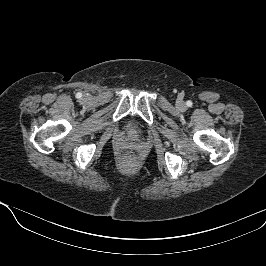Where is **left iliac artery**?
Segmentation results:
<instances>
[{
	"label": "left iliac artery",
	"mask_w": 266,
	"mask_h": 266,
	"mask_svg": "<svg viewBox=\"0 0 266 266\" xmlns=\"http://www.w3.org/2000/svg\"><path fill=\"white\" fill-rule=\"evenodd\" d=\"M187 105L190 106L191 105V102H188Z\"/></svg>",
	"instance_id": "1"
}]
</instances>
